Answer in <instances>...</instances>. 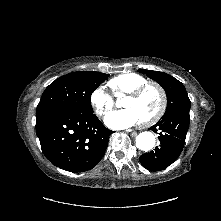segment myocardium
<instances>
[{
  "instance_id": "f54148a6",
  "label": "myocardium",
  "mask_w": 221,
  "mask_h": 221,
  "mask_svg": "<svg viewBox=\"0 0 221 221\" xmlns=\"http://www.w3.org/2000/svg\"><path fill=\"white\" fill-rule=\"evenodd\" d=\"M154 88L160 97V106L158 110L149 118L141 121V124L143 126H150L158 122L162 116L164 115L166 108H167V95L165 90L157 83L155 82H145L141 84L140 86L136 87L132 91H130L126 97L128 98H138L140 97L148 88Z\"/></svg>"
}]
</instances>
